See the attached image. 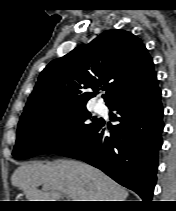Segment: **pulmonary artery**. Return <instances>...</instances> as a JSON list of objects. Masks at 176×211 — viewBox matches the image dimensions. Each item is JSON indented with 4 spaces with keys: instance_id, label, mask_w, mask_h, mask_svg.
Masks as SVG:
<instances>
[{
    "instance_id": "obj_1",
    "label": "pulmonary artery",
    "mask_w": 176,
    "mask_h": 211,
    "mask_svg": "<svg viewBox=\"0 0 176 211\" xmlns=\"http://www.w3.org/2000/svg\"><path fill=\"white\" fill-rule=\"evenodd\" d=\"M96 111L98 112H104L105 111V106L103 103L98 102L95 106Z\"/></svg>"
}]
</instances>
